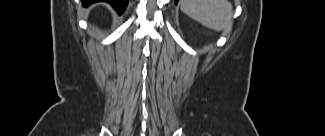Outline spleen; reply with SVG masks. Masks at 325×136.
Masks as SVG:
<instances>
[{"mask_svg":"<svg viewBox=\"0 0 325 136\" xmlns=\"http://www.w3.org/2000/svg\"><path fill=\"white\" fill-rule=\"evenodd\" d=\"M181 10L214 31L226 28L231 18V5L226 0H182Z\"/></svg>","mask_w":325,"mask_h":136,"instance_id":"1","label":"spleen"}]
</instances>
